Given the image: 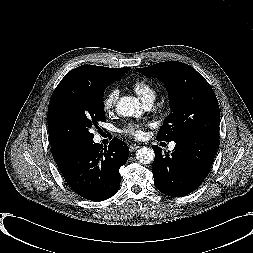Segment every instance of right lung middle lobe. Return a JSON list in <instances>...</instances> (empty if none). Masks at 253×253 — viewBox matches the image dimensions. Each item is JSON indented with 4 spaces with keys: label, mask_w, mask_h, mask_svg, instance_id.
<instances>
[{
    "label": "right lung middle lobe",
    "mask_w": 253,
    "mask_h": 253,
    "mask_svg": "<svg viewBox=\"0 0 253 253\" xmlns=\"http://www.w3.org/2000/svg\"><path fill=\"white\" fill-rule=\"evenodd\" d=\"M120 78L80 77L63 88L54 90L48 108V126L62 142L82 147L93 141L91 128L104 122L103 95L105 88Z\"/></svg>",
    "instance_id": "dd1d6c3e"
}]
</instances>
